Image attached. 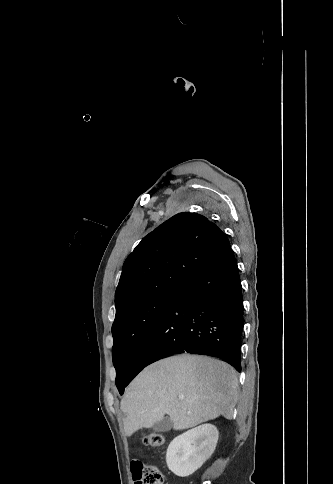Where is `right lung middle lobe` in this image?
I'll return each instance as SVG.
<instances>
[{
  "label": "right lung middle lobe",
  "instance_id": "dd1d6c3e",
  "mask_svg": "<svg viewBox=\"0 0 333 484\" xmlns=\"http://www.w3.org/2000/svg\"><path fill=\"white\" fill-rule=\"evenodd\" d=\"M177 294L162 292L125 312L112 325L114 344L112 357L116 369V386L123 394L138 349L155 323Z\"/></svg>",
  "mask_w": 333,
  "mask_h": 484
}]
</instances>
